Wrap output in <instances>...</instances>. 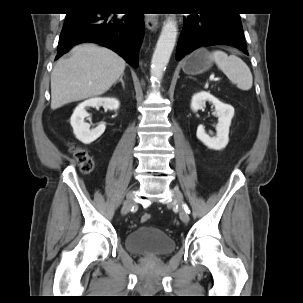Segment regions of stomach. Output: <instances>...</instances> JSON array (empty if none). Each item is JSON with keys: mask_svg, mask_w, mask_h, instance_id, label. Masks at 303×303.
Returning a JSON list of instances; mask_svg holds the SVG:
<instances>
[{"mask_svg": "<svg viewBox=\"0 0 303 303\" xmlns=\"http://www.w3.org/2000/svg\"><path fill=\"white\" fill-rule=\"evenodd\" d=\"M212 66V59L204 49L198 50L188 57L182 63V70L188 75H197L207 71Z\"/></svg>", "mask_w": 303, "mask_h": 303, "instance_id": "1", "label": "stomach"}]
</instances>
